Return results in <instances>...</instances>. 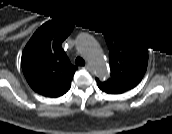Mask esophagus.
Instances as JSON below:
<instances>
[{
    "instance_id": "esophagus-1",
    "label": "esophagus",
    "mask_w": 172,
    "mask_h": 134,
    "mask_svg": "<svg viewBox=\"0 0 172 134\" xmlns=\"http://www.w3.org/2000/svg\"><path fill=\"white\" fill-rule=\"evenodd\" d=\"M85 68L88 69V70H90V65L89 64H86L85 65Z\"/></svg>"
}]
</instances>
